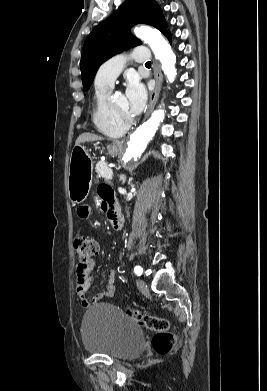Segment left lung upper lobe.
<instances>
[{
    "label": "left lung upper lobe",
    "instance_id": "obj_1",
    "mask_svg": "<svg viewBox=\"0 0 267 391\" xmlns=\"http://www.w3.org/2000/svg\"><path fill=\"white\" fill-rule=\"evenodd\" d=\"M144 23L163 34L167 23L154 0L125 1L109 18L96 26L87 37L81 57V77L84 91L91 86L100 65L117 53L141 44L129 29Z\"/></svg>",
    "mask_w": 267,
    "mask_h": 391
}]
</instances>
